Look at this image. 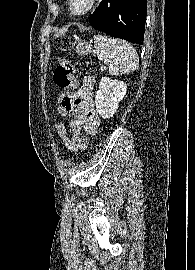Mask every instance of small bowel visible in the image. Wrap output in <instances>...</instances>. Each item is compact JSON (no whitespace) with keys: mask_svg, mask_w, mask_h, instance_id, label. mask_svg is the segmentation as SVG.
Returning a JSON list of instances; mask_svg holds the SVG:
<instances>
[{"mask_svg":"<svg viewBox=\"0 0 195 270\" xmlns=\"http://www.w3.org/2000/svg\"><path fill=\"white\" fill-rule=\"evenodd\" d=\"M94 85V77L85 75L74 104L68 108H57L58 113L62 116H75V119L68 121L66 124L58 123L56 125L57 133L63 140L64 147L67 151L73 152L80 149L78 140L80 138L81 128L88 134H94L100 123L99 116L93 104ZM68 131L71 133L70 136L67 134Z\"/></svg>","mask_w":195,"mask_h":270,"instance_id":"1","label":"small bowel"}]
</instances>
